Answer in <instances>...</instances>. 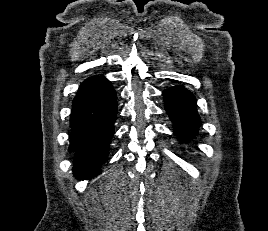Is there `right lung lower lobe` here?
<instances>
[{
  "instance_id": "1",
  "label": "right lung lower lobe",
  "mask_w": 268,
  "mask_h": 231,
  "mask_svg": "<svg viewBox=\"0 0 268 231\" xmlns=\"http://www.w3.org/2000/svg\"><path fill=\"white\" fill-rule=\"evenodd\" d=\"M116 92L109 80L93 76L80 85L70 116V145L74 152L73 174L91 179L101 171L114 134Z\"/></svg>"
}]
</instances>
